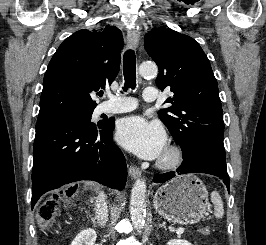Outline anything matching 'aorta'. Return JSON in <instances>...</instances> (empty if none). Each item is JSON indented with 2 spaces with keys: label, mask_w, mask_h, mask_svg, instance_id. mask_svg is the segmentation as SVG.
<instances>
[{
  "label": "aorta",
  "mask_w": 266,
  "mask_h": 245,
  "mask_svg": "<svg viewBox=\"0 0 266 245\" xmlns=\"http://www.w3.org/2000/svg\"><path fill=\"white\" fill-rule=\"evenodd\" d=\"M139 72L142 76H147V74L155 76L158 68L156 64H151V66L141 64ZM129 211L132 225H134L135 229H143L146 217V183L144 179H137L131 189Z\"/></svg>",
  "instance_id": "obj_1"
}]
</instances>
